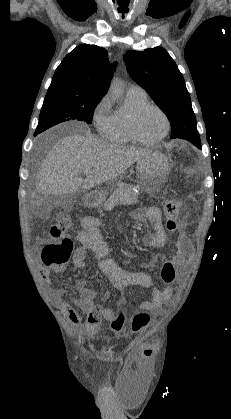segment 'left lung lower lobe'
<instances>
[{"mask_svg":"<svg viewBox=\"0 0 231 419\" xmlns=\"http://www.w3.org/2000/svg\"><path fill=\"white\" fill-rule=\"evenodd\" d=\"M191 143H193L195 146H197L198 148H201V144H200V141H198V142H191Z\"/></svg>","mask_w":231,"mask_h":419,"instance_id":"obj_1","label":"left lung lower lobe"}]
</instances>
